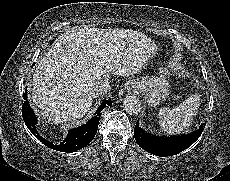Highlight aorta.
Segmentation results:
<instances>
[{"label":"aorta","instance_id":"aorta-1","mask_svg":"<svg viewBox=\"0 0 230 181\" xmlns=\"http://www.w3.org/2000/svg\"><path fill=\"white\" fill-rule=\"evenodd\" d=\"M123 107L128 114H138L141 111V101L136 96H126Z\"/></svg>","mask_w":230,"mask_h":181}]
</instances>
